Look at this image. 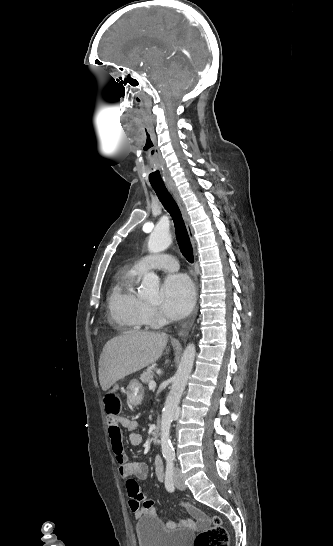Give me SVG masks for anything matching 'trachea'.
<instances>
[{"mask_svg":"<svg viewBox=\"0 0 333 546\" xmlns=\"http://www.w3.org/2000/svg\"><path fill=\"white\" fill-rule=\"evenodd\" d=\"M150 176L160 177L159 170L151 173ZM151 186L156 192L164 208L170 213L173 219L176 238L178 241L180 251L190 263H193L194 257H193L192 245L190 242V238H189L181 211L176 201L174 200V198L172 197V195L170 194V192L168 191V189L166 188L164 184H159V183L151 184Z\"/></svg>","mask_w":333,"mask_h":546,"instance_id":"1","label":"trachea"}]
</instances>
